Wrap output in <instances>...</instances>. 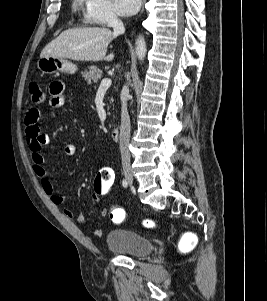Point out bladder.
<instances>
[{
	"label": "bladder",
	"instance_id": "bladder-1",
	"mask_svg": "<svg viewBox=\"0 0 267 301\" xmlns=\"http://www.w3.org/2000/svg\"><path fill=\"white\" fill-rule=\"evenodd\" d=\"M107 247L131 257H142L153 252V243L146 237L124 229H113L106 236Z\"/></svg>",
	"mask_w": 267,
	"mask_h": 301
}]
</instances>
